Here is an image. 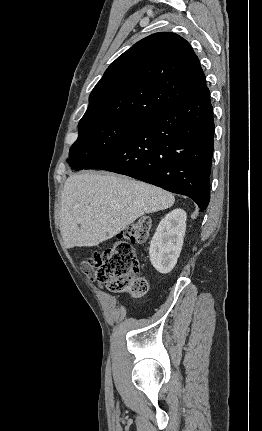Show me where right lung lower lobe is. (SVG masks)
I'll return each instance as SVG.
<instances>
[{
    "label": "right lung lower lobe",
    "mask_w": 262,
    "mask_h": 431,
    "mask_svg": "<svg viewBox=\"0 0 262 431\" xmlns=\"http://www.w3.org/2000/svg\"><path fill=\"white\" fill-rule=\"evenodd\" d=\"M213 136V108L206 88L141 120L85 169L127 175L189 196L202 212L210 200Z\"/></svg>",
    "instance_id": "right-lung-lower-lobe-1"
}]
</instances>
